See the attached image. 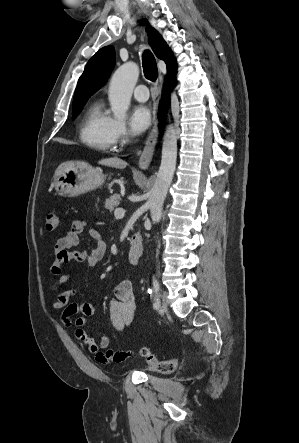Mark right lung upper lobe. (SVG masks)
<instances>
[{"instance_id": "right-lung-upper-lobe-1", "label": "right lung upper lobe", "mask_w": 299, "mask_h": 443, "mask_svg": "<svg viewBox=\"0 0 299 443\" xmlns=\"http://www.w3.org/2000/svg\"><path fill=\"white\" fill-rule=\"evenodd\" d=\"M149 43L155 55L167 64L168 76L176 74L177 64L173 53L154 29H149ZM115 65V50L113 46L101 48L87 63L83 74L78 80L73 106L87 102L88 98L101 88Z\"/></svg>"}]
</instances>
